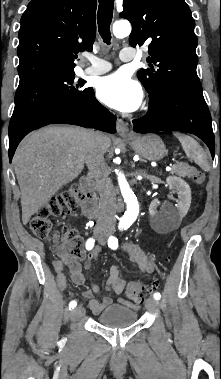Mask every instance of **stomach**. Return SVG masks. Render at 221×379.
Returning a JSON list of instances; mask_svg holds the SVG:
<instances>
[{
	"label": "stomach",
	"instance_id": "0dacf381",
	"mask_svg": "<svg viewBox=\"0 0 221 379\" xmlns=\"http://www.w3.org/2000/svg\"><path fill=\"white\" fill-rule=\"evenodd\" d=\"M128 140L133 150L146 160L157 161L167 154L164 142L155 134L133 136Z\"/></svg>",
	"mask_w": 221,
	"mask_h": 379
}]
</instances>
